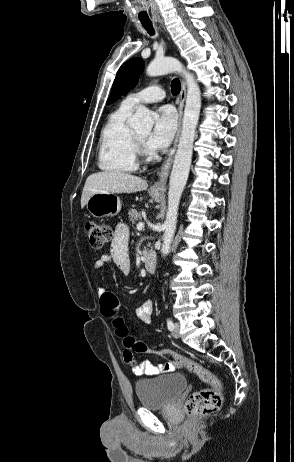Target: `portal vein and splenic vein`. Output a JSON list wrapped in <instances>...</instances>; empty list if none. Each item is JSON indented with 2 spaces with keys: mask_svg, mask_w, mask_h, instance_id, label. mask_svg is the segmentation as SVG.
Wrapping results in <instances>:
<instances>
[{
  "mask_svg": "<svg viewBox=\"0 0 294 462\" xmlns=\"http://www.w3.org/2000/svg\"><path fill=\"white\" fill-rule=\"evenodd\" d=\"M143 228H144V223L141 222L137 225V230H142Z\"/></svg>",
  "mask_w": 294,
  "mask_h": 462,
  "instance_id": "obj_1",
  "label": "portal vein and splenic vein"
}]
</instances>
